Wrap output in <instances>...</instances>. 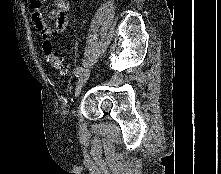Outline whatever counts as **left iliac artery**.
<instances>
[{
	"label": "left iliac artery",
	"instance_id": "obj_1",
	"mask_svg": "<svg viewBox=\"0 0 221 174\" xmlns=\"http://www.w3.org/2000/svg\"><path fill=\"white\" fill-rule=\"evenodd\" d=\"M82 72H83V68L82 67H77L74 74H75L76 77H78Z\"/></svg>",
	"mask_w": 221,
	"mask_h": 174
}]
</instances>
